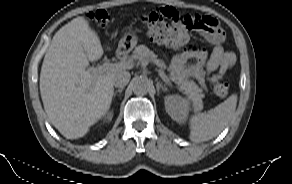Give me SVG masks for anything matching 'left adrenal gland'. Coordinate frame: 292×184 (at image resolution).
Returning <instances> with one entry per match:
<instances>
[{
  "mask_svg": "<svg viewBox=\"0 0 292 184\" xmlns=\"http://www.w3.org/2000/svg\"><path fill=\"white\" fill-rule=\"evenodd\" d=\"M156 87H157L158 94H159L160 89H162L164 92L168 90L166 85L165 84L163 85L159 81H157Z\"/></svg>",
  "mask_w": 292,
  "mask_h": 184,
  "instance_id": "obj_1",
  "label": "left adrenal gland"
}]
</instances>
